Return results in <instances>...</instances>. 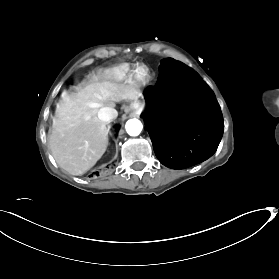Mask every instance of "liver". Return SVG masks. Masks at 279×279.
Segmentation results:
<instances>
[{
    "label": "liver",
    "instance_id": "obj_1",
    "mask_svg": "<svg viewBox=\"0 0 279 279\" xmlns=\"http://www.w3.org/2000/svg\"><path fill=\"white\" fill-rule=\"evenodd\" d=\"M139 91L108 74L100 76L78 96H64L58 104L49 146L57 164L74 176L91 169L107 149L108 123L97 114L104 103L134 101Z\"/></svg>",
    "mask_w": 279,
    "mask_h": 279
}]
</instances>
